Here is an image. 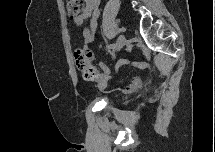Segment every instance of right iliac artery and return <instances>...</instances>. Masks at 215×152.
<instances>
[{
  "label": "right iliac artery",
  "instance_id": "obj_1",
  "mask_svg": "<svg viewBox=\"0 0 215 152\" xmlns=\"http://www.w3.org/2000/svg\"><path fill=\"white\" fill-rule=\"evenodd\" d=\"M116 46H117V44H116V43H114V44H112V45H109L107 48H108V49H115V48H116Z\"/></svg>",
  "mask_w": 215,
  "mask_h": 152
}]
</instances>
